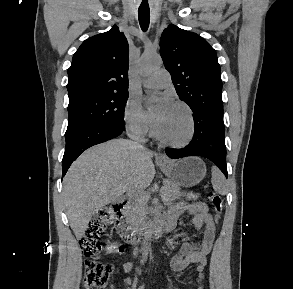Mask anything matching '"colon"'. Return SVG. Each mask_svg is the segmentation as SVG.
I'll return each instance as SVG.
<instances>
[{"instance_id": "1", "label": "colon", "mask_w": 293, "mask_h": 289, "mask_svg": "<svg viewBox=\"0 0 293 289\" xmlns=\"http://www.w3.org/2000/svg\"><path fill=\"white\" fill-rule=\"evenodd\" d=\"M208 198L218 220L223 210L222 198L214 192L209 193ZM113 213L110 208L101 210L91 219L85 234L80 239L79 243L85 256L83 282L85 289H101L114 271L111 264L99 260V254L103 248L110 253H123L124 247L122 245L104 243L100 240L106 226L112 221Z\"/></svg>"}]
</instances>
